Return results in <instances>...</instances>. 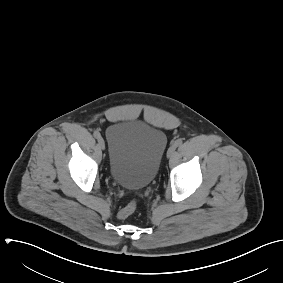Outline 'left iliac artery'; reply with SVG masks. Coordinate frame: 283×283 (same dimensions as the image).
Listing matches in <instances>:
<instances>
[{"instance_id":"44dca946","label":"left iliac artery","mask_w":283,"mask_h":283,"mask_svg":"<svg viewBox=\"0 0 283 283\" xmlns=\"http://www.w3.org/2000/svg\"><path fill=\"white\" fill-rule=\"evenodd\" d=\"M183 143L182 139H178L175 141V146H180Z\"/></svg>"}]
</instances>
